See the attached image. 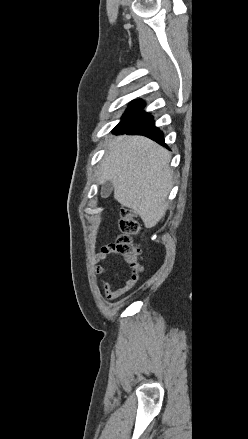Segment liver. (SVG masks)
I'll return each instance as SVG.
<instances>
[{"mask_svg": "<svg viewBox=\"0 0 248 439\" xmlns=\"http://www.w3.org/2000/svg\"><path fill=\"white\" fill-rule=\"evenodd\" d=\"M170 159L165 148L146 137L116 136L107 146L98 181L110 180L115 200L131 208L151 228L167 210L172 188Z\"/></svg>", "mask_w": 248, "mask_h": 439, "instance_id": "6515ba94", "label": "liver"}]
</instances>
